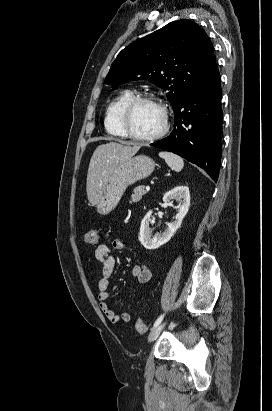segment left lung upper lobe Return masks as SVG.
Listing matches in <instances>:
<instances>
[{"label": "left lung upper lobe", "mask_w": 272, "mask_h": 411, "mask_svg": "<svg viewBox=\"0 0 272 411\" xmlns=\"http://www.w3.org/2000/svg\"><path fill=\"white\" fill-rule=\"evenodd\" d=\"M213 52L207 34L196 23L173 21L123 49L104 84L116 88L148 79L167 92L174 109L215 64Z\"/></svg>", "instance_id": "obj_1"}]
</instances>
